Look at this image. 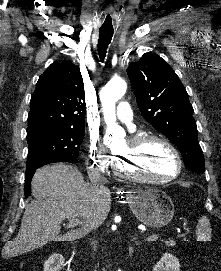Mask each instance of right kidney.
I'll return each mask as SVG.
<instances>
[{
    "label": "right kidney",
    "mask_w": 221,
    "mask_h": 271,
    "mask_svg": "<svg viewBox=\"0 0 221 271\" xmlns=\"http://www.w3.org/2000/svg\"><path fill=\"white\" fill-rule=\"evenodd\" d=\"M65 263V259L61 253H52L46 261H44L43 271H60L63 269ZM66 271H72L71 267H67Z\"/></svg>",
    "instance_id": "obj_1"
}]
</instances>
